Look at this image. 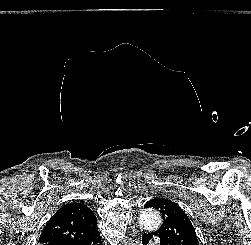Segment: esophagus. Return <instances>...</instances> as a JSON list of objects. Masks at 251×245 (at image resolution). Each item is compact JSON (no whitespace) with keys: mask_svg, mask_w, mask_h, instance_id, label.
I'll use <instances>...</instances> for the list:
<instances>
[{"mask_svg":"<svg viewBox=\"0 0 251 245\" xmlns=\"http://www.w3.org/2000/svg\"><path fill=\"white\" fill-rule=\"evenodd\" d=\"M141 232L139 229H133L132 234L128 240V245H141Z\"/></svg>","mask_w":251,"mask_h":245,"instance_id":"1","label":"esophagus"}]
</instances>
